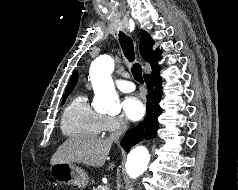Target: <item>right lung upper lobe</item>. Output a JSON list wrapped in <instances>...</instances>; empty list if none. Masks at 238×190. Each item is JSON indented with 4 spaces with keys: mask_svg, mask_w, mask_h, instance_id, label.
Here are the masks:
<instances>
[{
    "mask_svg": "<svg viewBox=\"0 0 238 190\" xmlns=\"http://www.w3.org/2000/svg\"><path fill=\"white\" fill-rule=\"evenodd\" d=\"M142 37L140 42V52L141 56L148 61L151 64L152 67V73L159 70L160 66L157 63V60L160 59L161 51L159 49H156L155 51L152 50V47L154 45V41L151 39L150 35L142 30ZM77 82V71L74 72L72 75L66 89V93L70 92L74 89Z\"/></svg>",
    "mask_w": 238,
    "mask_h": 190,
    "instance_id": "cb5924a9",
    "label": "right lung upper lobe"
}]
</instances>
